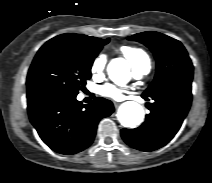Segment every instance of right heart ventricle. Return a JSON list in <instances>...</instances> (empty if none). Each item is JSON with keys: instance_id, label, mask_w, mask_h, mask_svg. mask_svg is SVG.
<instances>
[{"instance_id": "right-heart-ventricle-1", "label": "right heart ventricle", "mask_w": 212, "mask_h": 183, "mask_svg": "<svg viewBox=\"0 0 212 183\" xmlns=\"http://www.w3.org/2000/svg\"><path fill=\"white\" fill-rule=\"evenodd\" d=\"M121 52L130 62L133 69L142 67L151 68L150 57L143 49L132 46H123L121 47Z\"/></svg>"}]
</instances>
